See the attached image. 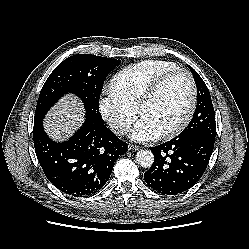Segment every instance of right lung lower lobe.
I'll list each match as a JSON object with an SVG mask.
<instances>
[{"instance_id":"obj_1","label":"right lung lower lobe","mask_w":249,"mask_h":249,"mask_svg":"<svg viewBox=\"0 0 249 249\" xmlns=\"http://www.w3.org/2000/svg\"><path fill=\"white\" fill-rule=\"evenodd\" d=\"M33 140L39 163L48 180L75 197L90 196L108 181L116 159L127 152V143L111 130L86 118L67 141L51 140L42 122H34Z\"/></svg>"}]
</instances>
